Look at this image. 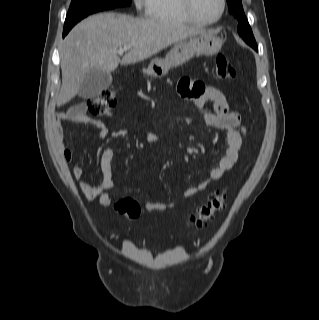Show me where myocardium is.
<instances>
[{
    "label": "myocardium",
    "mask_w": 319,
    "mask_h": 320,
    "mask_svg": "<svg viewBox=\"0 0 319 320\" xmlns=\"http://www.w3.org/2000/svg\"><path fill=\"white\" fill-rule=\"evenodd\" d=\"M181 1H182V6H183V9H184L186 15L195 24L203 25V26L217 24L223 18L225 11H226V6H227L226 0H220L221 8H220L219 15L213 20H204V19L199 18L198 15L196 14L195 9H194V0H181Z\"/></svg>",
    "instance_id": "f54148a6"
}]
</instances>
